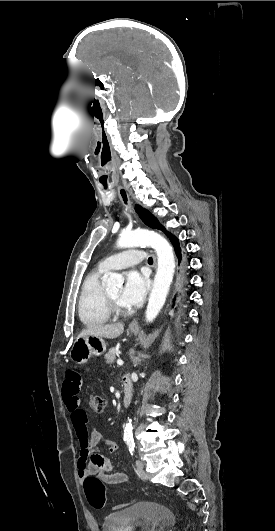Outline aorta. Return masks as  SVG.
Returning <instances> with one entry per match:
<instances>
[{"label":"aorta","mask_w":275,"mask_h":531,"mask_svg":"<svg viewBox=\"0 0 275 531\" xmlns=\"http://www.w3.org/2000/svg\"><path fill=\"white\" fill-rule=\"evenodd\" d=\"M141 243L150 245L152 249H155L158 257V269L145 311L147 323H153L166 301L174 275L175 259L173 249L168 241L161 235H157V233H151V231H121L117 239V247L119 249L139 247ZM105 283L107 289H121L124 279L122 275L112 273L109 277H105ZM128 421L129 423L124 429V437H129L130 439L132 437L131 419H128Z\"/></svg>","instance_id":"1"}]
</instances>
